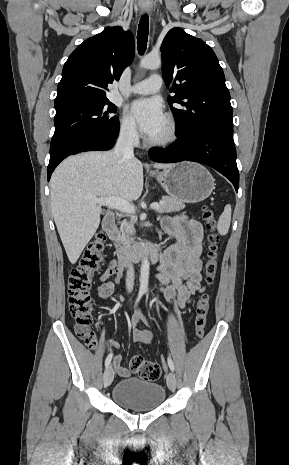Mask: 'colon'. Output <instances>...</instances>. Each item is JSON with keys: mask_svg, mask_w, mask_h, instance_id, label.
<instances>
[{"mask_svg": "<svg viewBox=\"0 0 289 465\" xmlns=\"http://www.w3.org/2000/svg\"><path fill=\"white\" fill-rule=\"evenodd\" d=\"M202 217L208 230V251L204 267L205 281L212 284L218 267V252L220 235L218 234V220L214 210L208 206L203 207ZM106 247V236L98 232L86 247L79 264L72 269L68 277V303L71 316L75 320V331L79 338L90 347L97 346V337L93 331V305L90 296L91 283L99 270ZM210 299L203 294L196 304L195 336L203 338L207 322ZM163 363L147 360L141 355L132 357L130 367L141 379L147 381L157 380L162 373Z\"/></svg>", "mask_w": 289, "mask_h": 465, "instance_id": "1", "label": "colon"}]
</instances>
